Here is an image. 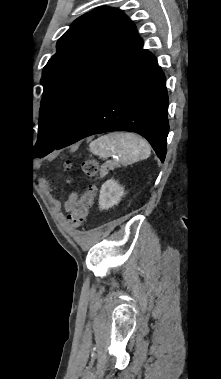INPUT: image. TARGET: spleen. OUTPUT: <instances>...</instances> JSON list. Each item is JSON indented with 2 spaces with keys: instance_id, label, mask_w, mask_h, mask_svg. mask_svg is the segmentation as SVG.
I'll return each mask as SVG.
<instances>
[{
  "instance_id": "spleen-1",
  "label": "spleen",
  "mask_w": 221,
  "mask_h": 379,
  "mask_svg": "<svg viewBox=\"0 0 221 379\" xmlns=\"http://www.w3.org/2000/svg\"><path fill=\"white\" fill-rule=\"evenodd\" d=\"M90 152L99 158L117 157L123 166L147 159L151 154L150 145L143 138L131 133H110L92 141Z\"/></svg>"
}]
</instances>
